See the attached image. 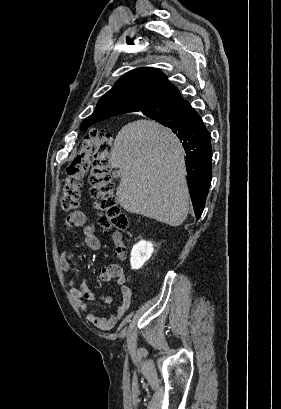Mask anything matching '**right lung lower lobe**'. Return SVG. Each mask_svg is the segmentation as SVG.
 <instances>
[{
	"instance_id": "98d812e1",
	"label": "right lung lower lobe",
	"mask_w": 281,
	"mask_h": 409,
	"mask_svg": "<svg viewBox=\"0 0 281 409\" xmlns=\"http://www.w3.org/2000/svg\"><path fill=\"white\" fill-rule=\"evenodd\" d=\"M143 114L151 119L167 116L178 118V121L168 127L183 141L182 145L187 154L185 163L190 196L198 220L203 212L212 178V147L208 130L199 114L186 100L157 110H148Z\"/></svg>"
}]
</instances>
